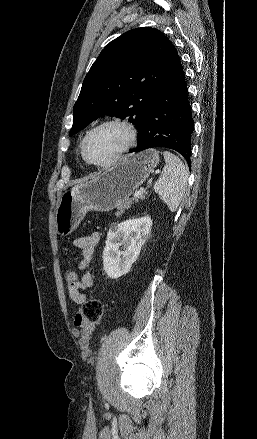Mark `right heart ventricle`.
I'll return each mask as SVG.
<instances>
[{
	"instance_id": "e07e8e85",
	"label": "right heart ventricle",
	"mask_w": 257,
	"mask_h": 439,
	"mask_svg": "<svg viewBox=\"0 0 257 439\" xmlns=\"http://www.w3.org/2000/svg\"><path fill=\"white\" fill-rule=\"evenodd\" d=\"M82 144H83V140H82V142L80 143V149L82 148Z\"/></svg>"
}]
</instances>
